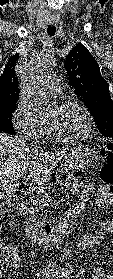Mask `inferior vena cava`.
Instances as JSON below:
<instances>
[{"mask_svg":"<svg viewBox=\"0 0 113 279\" xmlns=\"http://www.w3.org/2000/svg\"><path fill=\"white\" fill-rule=\"evenodd\" d=\"M39 148V147H38ZM39 149H41V148H39ZM57 264H56V261L54 260V259H51V260H49V267H51V268H53V267H55Z\"/></svg>","mask_w":113,"mask_h":279,"instance_id":"inferior-vena-cava-1","label":"inferior vena cava"}]
</instances>
